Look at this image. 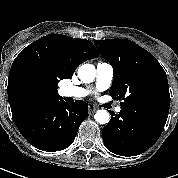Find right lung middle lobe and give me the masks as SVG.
<instances>
[{"label":"right lung middle lobe","mask_w":178,"mask_h":178,"mask_svg":"<svg viewBox=\"0 0 178 178\" xmlns=\"http://www.w3.org/2000/svg\"><path fill=\"white\" fill-rule=\"evenodd\" d=\"M45 87V83L40 80H31L29 82V88L33 92H37ZM55 89L58 88L57 85L54 86Z\"/></svg>","instance_id":"dd1d6c3e"}]
</instances>
